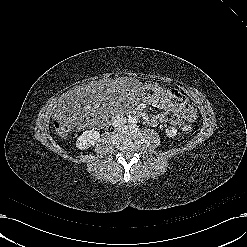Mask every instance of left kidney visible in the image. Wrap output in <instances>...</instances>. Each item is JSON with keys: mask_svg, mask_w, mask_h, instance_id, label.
<instances>
[{"mask_svg": "<svg viewBox=\"0 0 247 247\" xmlns=\"http://www.w3.org/2000/svg\"><path fill=\"white\" fill-rule=\"evenodd\" d=\"M166 135L168 137L174 138L177 135V129H175L174 127L166 129Z\"/></svg>", "mask_w": 247, "mask_h": 247, "instance_id": "1", "label": "left kidney"}]
</instances>
